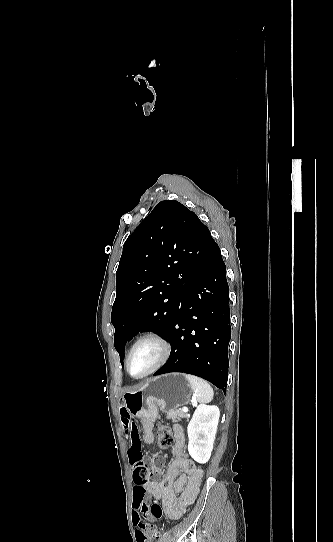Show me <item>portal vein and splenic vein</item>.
<instances>
[{
  "mask_svg": "<svg viewBox=\"0 0 333 542\" xmlns=\"http://www.w3.org/2000/svg\"><path fill=\"white\" fill-rule=\"evenodd\" d=\"M182 412H189V410L186 408V406H184V408H182Z\"/></svg>",
  "mask_w": 333,
  "mask_h": 542,
  "instance_id": "obj_1",
  "label": "portal vein and splenic vein"
}]
</instances>
